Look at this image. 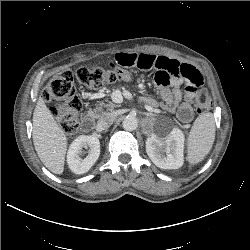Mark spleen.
<instances>
[{"label":"spleen","mask_w":250,"mask_h":250,"mask_svg":"<svg viewBox=\"0 0 250 250\" xmlns=\"http://www.w3.org/2000/svg\"><path fill=\"white\" fill-rule=\"evenodd\" d=\"M215 140V120L212 113L199 115L193 123L187 140V161L201 162L210 152Z\"/></svg>","instance_id":"obj_1"}]
</instances>
